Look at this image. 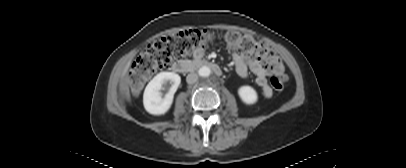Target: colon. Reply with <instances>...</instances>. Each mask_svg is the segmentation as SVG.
<instances>
[{
	"label": "colon",
	"instance_id": "colon-1",
	"mask_svg": "<svg viewBox=\"0 0 406 168\" xmlns=\"http://www.w3.org/2000/svg\"><path fill=\"white\" fill-rule=\"evenodd\" d=\"M221 37L229 49L246 57L264 59L270 70L271 86L277 92L284 89L287 76L283 63L266 43L236 31L224 32ZM214 38L215 33L211 30L191 28L161 37L148 45L127 72L126 81L132 93L140 92L146 81L158 70L196 50L204 49Z\"/></svg>",
	"mask_w": 406,
	"mask_h": 168
}]
</instances>
